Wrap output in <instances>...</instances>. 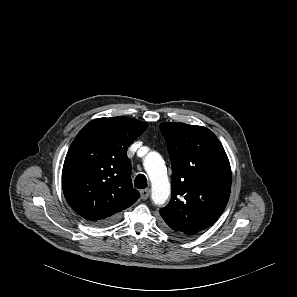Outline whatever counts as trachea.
Listing matches in <instances>:
<instances>
[{"instance_id":"3493384b","label":"trachea","mask_w":297,"mask_h":297,"mask_svg":"<svg viewBox=\"0 0 297 297\" xmlns=\"http://www.w3.org/2000/svg\"><path fill=\"white\" fill-rule=\"evenodd\" d=\"M134 186L138 189H144L147 187V178L143 174H138L134 181Z\"/></svg>"}]
</instances>
